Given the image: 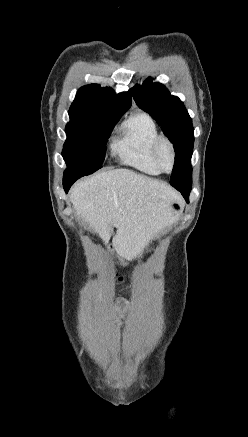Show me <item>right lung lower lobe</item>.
Returning a JSON list of instances; mask_svg holds the SVG:
<instances>
[{"label":"right lung lower lobe","mask_w":248,"mask_h":437,"mask_svg":"<svg viewBox=\"0 0 248 437\" xmlns=\"http://www.w3.org/2000/svg\"><path fill=\"white\" fill-rule=\"evenodd\" d=\"M80 177H81L80 175L64 176L63 187L66 193L68 192L71 185Z\"/></svg>","instance_id":"1"}]
</instances>
